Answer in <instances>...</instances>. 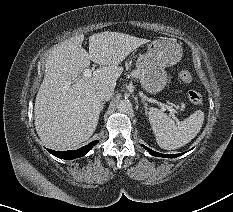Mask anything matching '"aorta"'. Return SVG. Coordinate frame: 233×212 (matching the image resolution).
Masks as SVG:
<instances>
[{"label": "aorta", "mask_w": 233, "mask_h": 212, "mask_svg": "<svg viewBox=\"0 0 233 212\" xmlns=\"http://www.w3.org/2000/svg\"><path fill=\"white\" fill-rule=\"evenodd\" d=\"M117 109L119 112L127 113L132 109V103L126 99L121 100L117 105Z\"/></svg>", "instance_id": "1"}]
</instances>
